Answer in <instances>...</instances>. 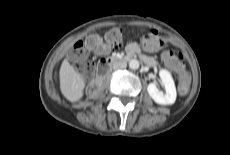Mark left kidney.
<instances>
[{
	"label": "left kidney",
	"instance_id": "left-kidney-1",
	"mask_svg": "<svg viewBox=\"0 0 230 155\" xmlns=\"http://www.w3.org/2000/svg\"><path fill=\"white\" fill-rule=\"evenodd\" d=\"M159 76L161 78V85L165 88V93L157 88V83L155 82L148 85L147 91L156 103L161 105H172L177 96L174 80L170 72L166 69H160Z\"/></svg>",
	"mask_w": 230,
	"mask_h": 155
}]
</instances>
